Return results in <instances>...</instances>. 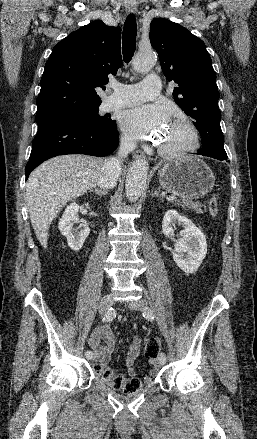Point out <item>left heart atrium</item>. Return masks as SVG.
I'll use <instances>...</instances> for the list:
<instances>
[{
  "label": "left heart atrium",
  "instance_id": "39dd6f15",
  "mask_svg": "<svg viewBox=\"0 0 257 439\" xmlns=\"http://www.w3.org/2000/svg\"><path fill=\"white\" fill-rule=\"evenodd\" d=\"M168 122V111L161 105H140L123 111L121 127L132 137L146 139L156 137Z\"/></svg>",
  "mask_w": 257,
  "mask_h": 439
}]
</instances>
